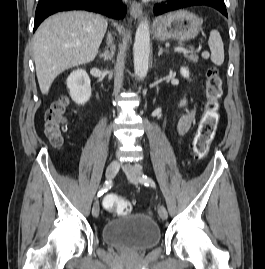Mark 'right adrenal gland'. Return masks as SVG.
I'll use <instances>...</instances> for the list:
<instances>
[{"mask_svg":"<svg viewBox=\"0 0 265 269\" xmlns=\"http://www.w3.org/2000/svg\"><path fill=\"white\" fill-rule=\"evenodd\" d=\"M112 56H113L112 48L110 49V51L108 49H105L102 53H100V57L103 58L104 61L111 60Z\"/></svg>","mask_w":265,"mask_h":269,"instance_id":"2a0ac1e0","label":"right adrenal gland"}]
</instances>
